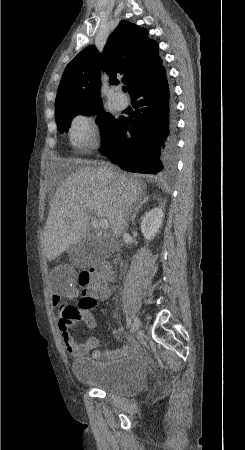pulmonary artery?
<instances>
[{"label":"pulmonary artery","mask_w":245,"mask_h":450,"mask_svg":"<svg viewBox=\"0 0 245 450\" xmlns=\"http://www.w3.org/2000/svg\"><path fill=\"white\" fill-rule=\"evenodd\" d=\"M114 102L116 103L117 107L120 109L125 108L128 103L126 97L123 95V93L121 91L115 93Z\"/></svg>","instance_id":"obj_1"}]
</instances>
